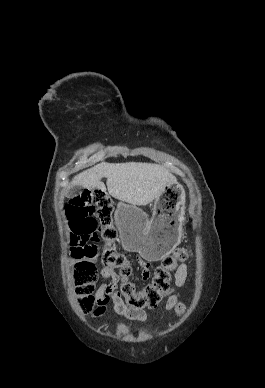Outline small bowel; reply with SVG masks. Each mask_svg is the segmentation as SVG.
<instances>
[{
	"label": "small bowel",
	"mask_w": 265,
	"mask_h": 388,
	"mask_svg": "<svg viewBox=\"0 0 265 388\" xmlns=\"http://www.w3.org/2000/svg\"><path fill=\"white\" fill-rule=\"evenodd\" d=\"M138 264L141 268V279L147 281L150 277V263L142 258H138ZM102 277L106 280L96 291V300L99 304V312L105 311V305L109 300L113 303L114 312L125 318L126 321H121L117 324V329L124 332L128 329V322H145L147 314L140 309H133L127 306L119 295L117 290L118 275L115 271L109 268H103L101 271ZM188 268L186 264H181L174 275L175 287H182L187 279ZM162 296L166 298L164 310H174L177 315H182L185 311L184 305L179 301V294L170 289Z\"/></svg>",
	"instance_id": "obj_1"
}]
</instances>
